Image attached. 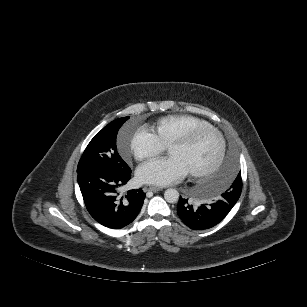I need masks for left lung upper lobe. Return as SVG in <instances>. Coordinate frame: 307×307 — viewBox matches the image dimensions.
I'll use <instances>...</instances> for the list:
<instances>
[{
    "label": "left lung upper lobe",
    "mask_w": 307,
    "mask_h": 307,
    "mask_svg": "<svg viewBox=\"0 0 307 307\" xmlns=\"http://www.w3.org/2000/svg\"><path fill=\"white\" fill-rule=\"evenodd\" d=\"M242 190L241 172L237 175L232 185L225 191V194L235 201H238Z\"/></svg>",
    "instance_id": "left-lung-upper-lobe-1"
}]
</instances>
